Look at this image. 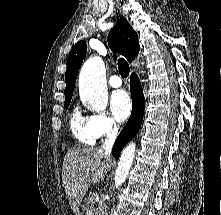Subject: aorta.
Masks as SVG:
<instances>
[{"instance_id":"762f6f07","label":"aorta","mask_w":221,"mask_h":215,"mask_svg":"<svg viewBox=\"0 0 221 215\" xmlns=\"http://www.w3.org/2000/svg\"><path fill=\"white\" fill-rule=\"evenodd\" d=\"M79 93L91 111L102 112L108 103L106 70L101 57L89 58L82 66L79 75ZM136 144L130 142L122 151L115 171L114 185L120 187L132 167Z\"/></svg>"}]
</instances>
